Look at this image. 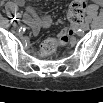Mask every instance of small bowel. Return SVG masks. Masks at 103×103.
<instances>
[{"mask_svg": "<svg viewBox=\"0 0 103 103\" xmlns=\"http://www.w3.org/2000/svg\"><path fill=\"white\" fill-rule=\"evenodd\" d=\"M22 1H17L16 5L21 6ZM23 20L27 24L34 36H37L42 28H47L51 25V19L47 16L39 17L35 10L31 7L26 9L23 15Z\"/></svg>", "mask_w": 103, "mask_h": 103, "instance_id": "obj_1", "label": "small bowel"}]
</instances>
